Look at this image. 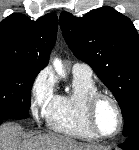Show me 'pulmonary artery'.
I'll use <instances>...</instances> for the list:
<instances>
[{
	"mask_svg": "<svg viewBox=\"0 0 139 150\" xmlns=\"http://www.w3.org/2000/svg\"><path fill=\"white\" fill-rule=\"evenodd\" d=\"M72 72L76 76L92 77V69L84 63H75L72 67Z\"/></svg>",
	"mask_w": 139,
	"mask_h": 150,
	"instance_id": "pulmonary-artery-1",
	"label": "pulmonary artery"
}]
</instances>
